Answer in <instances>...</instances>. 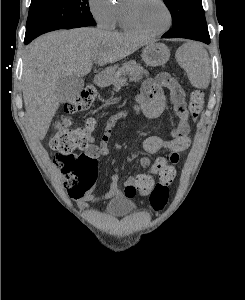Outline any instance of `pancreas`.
<instances>
[{"instance_id": "pancreas-1", "label": "pancreas", "mask_w": 245, "mask_h": 300, "mask_svg": "<svg viewBox=\"0 0 245 300\" xmlns=\"http://www.w3.org/2000/svg\"><path fill=\"white\" fill-rule=\"evenodd\" d=\"M148 76L149 73L140 64L135 61H129L115 73L113 78V86L116 91L120 90L121 87L129 81L140 80L143 76Z\"/></svg>"}]
</instances>
